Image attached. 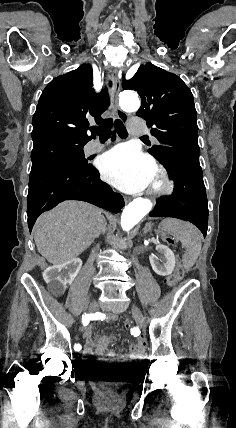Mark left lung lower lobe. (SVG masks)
Here are the masks:
<instances>
[{
    "label": "left lung lower lobe",
    "mask_w": 236,
    "mask_h": 428,
    "mask_svg": "<svg viewBox=\"0 0 236 428\" xmlns=\"http://www.w3.org/2000/svg\"><path fill=\"white\" fill-rule=\"evenodd\" d=\"M165 167L174 180V192L169 197L158 200L149 215L189 221L206 236L208 201L202 169L177 163H169Z\"/></svg>",
    "instance_id": "0a47b994"
}]
</instances>
